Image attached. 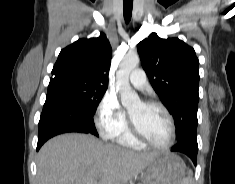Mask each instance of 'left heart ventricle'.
<instances>
[{"instance_id": "left-heart-ventricle-1", "label": "left heart ventricle", "mask_w": 235, "mask_h": 184, "mask_svg": "<svg viewBox=\"0 0 235 184\" xmlns=\"http://www.w3.org/2000/svg\"><path fill=\"white\" fill-rule=\"evenodd\" d=\"M138 130L157 145H165L170 138V122L158 107H146L141 102L129 109Z\"/></svg>"}]
</instances>
